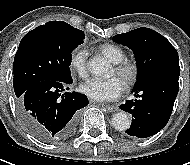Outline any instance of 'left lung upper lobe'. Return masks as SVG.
<instances>
[{"mask_svg": "<svg viewBox=\"0 0 190 165\" xmlns=\"http://www.w3.org/2000/svg\"><path fill=\"white\" fill-rule=\"evenodd\" d=\"M113 40L128 46L134 52L138 66L136 85L160 71H180L176 49L165 37L152 29L138 28L115 35Z\"/></svg>", "mask_w": 190, "mask_h": 165, "instance_id": "left-lung-upper-lobe-1", "label": "left lung upper lobe"}]
</instances>
